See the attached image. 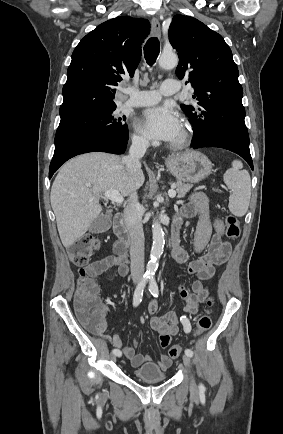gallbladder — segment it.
<instances>
[{"instance_id":"bac80fb5","label":"gallbladder","mask_w":283,"mask_h":434,"mask_svg":"<svg viewBox=\"0 0 283 434\" xmlns=\"http://www.w3.org/2000/svg\"><path fill=\"white\" fill-rule=\"evenodd\" d=\"M111 216L110 215H101L96 218L90 225L89 231L91 233H102L111 227Z\"/></svg>"}]
</instances>
